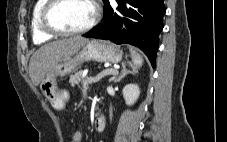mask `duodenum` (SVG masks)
I'll use <instances>...</instances> for the list:
<instances>
[{
    "label": "duodenum",
    "mask_w": 227,
    "mask_h": 142,
    "mask_svg": "<svg viewBox=\"0 0 227 142\" xmlns=\"http://www.w3.org/2000/svg\"><path fill=\"white\" fill-rule=\"evenodd\" d=\"M106 125V118L104 115H98L94 120V129L97 132H101L104 130Z\"/></svg>",
    "instance_id": "410a0bca"
}]
</instances>
